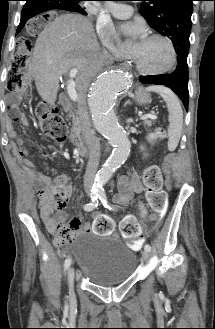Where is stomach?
<instances>
[{
  "mask_svg": "<svg viewBox=\"0 0 215 329\" xmlns=\"http://www.w3.org/2000/svg\"><path fill=\"white\" fill-rule=\"evenodd\" d=\"M136 100L140 105H145L150 102L151 97L143 89L139 88L136 92Z\"/></svg>",
  "mask_w": 215,
  "mask_h": 329,
  "instance_id": "1",
  "label": "stomach"
}]
</instances>
